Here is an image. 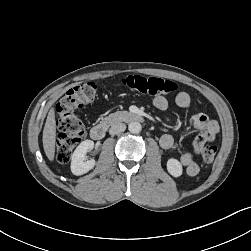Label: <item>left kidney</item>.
Listing matches in <instances>:
<instances>
[{
    "mask_svg": "<svg viewBox=\"0 0 251 251\" xmlns=\"http://www.w3.org/2000/svg\"><path fill=\"white\" fill-rule=\"evenodd\" d=\"M167 170L172 176L179 177L182 175L183 169L181 163L177 159L170 158L167 161Z\"/></svg>",
    "mask_w": 251,
    "mask_h": 251,
    "instance_id": "1",
    "label": "left kidney"
}]
</instances>
